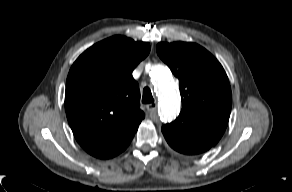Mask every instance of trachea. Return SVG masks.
<instances>
[{
	"label": "trachea",
	"instance_id": "3493384b",
	"mask_svg": "<svg viewBox=\"0 0 292 192\" xmlns=\"http://www.w3.org/2000/svg\"><path fill=\"white\" fill-rule=\"evenodd\" d=\"M154 101L151 90L149 87H145L143 89V97H142V102L145 104L152 103Z\"/></svg>",
	"mask_w": 292,
	"mask_h": 192
}]
</instances>
